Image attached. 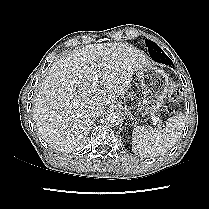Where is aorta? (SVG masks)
<instances>
[{
	"mask_svg": "<svg viewBox=\"0 0 209 209\" xmlns=\"http://www.w3.org/2000/svg\"><path fill=\"white\" fill-rule=\"evenodd\" d=\"M106 122L114 127V126H118L122 123V115L120 112H109L106 114L105 116Z\"/></svg>",
	"mask_w": 209,
	"mask_h": 209,
	"instance_id": "obj_1",
	"label": "aorta"
}]
</instances>
